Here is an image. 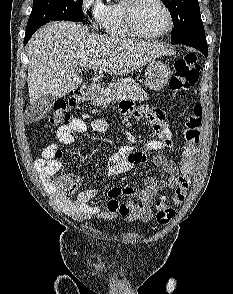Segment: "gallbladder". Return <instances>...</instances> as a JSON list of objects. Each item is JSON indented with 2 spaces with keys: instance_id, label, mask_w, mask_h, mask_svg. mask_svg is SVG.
<instances>
[{
  "instance_id": "1",
  "label": "gallbladder",
  "mask_w": 233,
  "mask_h": 294,
  "mask_svg": "<svg viewBox=\"0 0 233 294\" xmlns=\"http://www.w3.org/2000/svg\"><path fill=\"white\" fill-rule=\"evenodd\" d=\"M55 99L51 96H43L29 109L28 119L38 120L46 116L53 107Z\"/></svg>"
}]
</instances>
